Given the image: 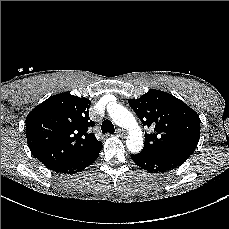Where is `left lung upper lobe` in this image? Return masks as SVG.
<instances>
[{
  "mask_svg": "<svg viewBox=\"0 0 229 229\" xmlns=\"http://www.w3.org/2000/svg\"><path fill=\"white\" fill-rule=\"evenodd\" d=\"M128 102L142 124L154 129L145 133L140 154L190 157L200 138V118L193 109L172 94L155 89Z\"/></svg>",
  "mask_w": 229,
  "mask_h": 229,
  "instance_id": "obj_1",
  "label": "left lung upper lobe"
}]
</instances>
